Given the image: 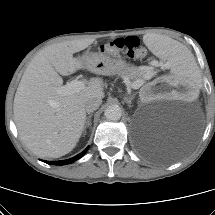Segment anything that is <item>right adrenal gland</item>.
<instances>
[{"mask_svg":"<svg viewBox=\"0 0 215 215\" xmlns=\"http://www.w3.org/2000/svg\"><path fill=\"white\" fill-rule=\"evenodd\" d=\"M91 117H92V114L89 113V116L87 117V120H86V123H85V126H84L85 130H86V128L91 127Z\"/></svg>","mask_w":215,"mask_h":215,"instance_id":"right-adrenal-gland-1","label":"right adrenal gland"}]
</instances>
